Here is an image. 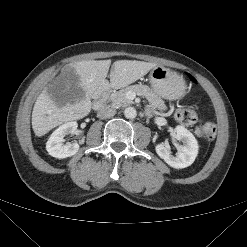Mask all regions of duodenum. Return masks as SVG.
Listing matches in <instances>:
<instances>
[{
    "mask_svg": "<svg viewBox=\"0 0 247 247\" xmlns=\"http://www.w3.org/2000/svg\"><path fill=\"white\" fill-rule=\"evenodd\" d=\"M110 92H111V90H110V89H107V90L103 93L102 97H101L100 99H98L97 101H95V103H94V108H95L96 110H100V109H102V108L104 107L105 100H106V98H107V96H108V94H109Z\"/></svg>",
    "mask_w": 247,
    "mask_h": 247,
    "instance_id": "obj_1",
    "label": "duodenum"
}]
</instances>
